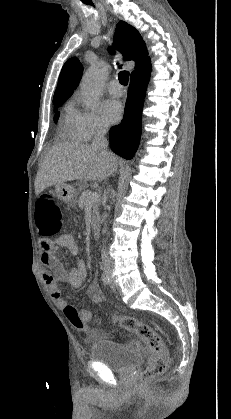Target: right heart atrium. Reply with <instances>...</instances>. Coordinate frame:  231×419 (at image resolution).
<instances>
[{"instance_id": "d8ad5b80", "label": "right heart atrium", "mask_w": 231, "mask_h": 419, "mask_svg": "<svg viewBox=\"0 0 231 419\" xmlns=\"http://www.w3.org/2000/svg\"><path fill=\"white\" fill-rule=\"evenodd\" d=\"M76 111V125L82 140L88 141L107 131L108 125L98 109L83 106Z\"/></svg>"}]
</instances>
